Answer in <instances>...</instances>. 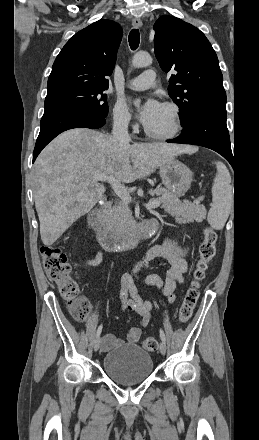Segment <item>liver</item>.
<instances>
[{
  "instance_id": "1",
  "label": "liver",
  "mask_w": 259,
  "mask_h": 440,
  "mask_svg": "<svg viewBox=\"0 0 259 440\" xmlns=\"http://www.w3.org/2000/svg\"><path fill=\"white\" fill-rule=\"evenodd\" d=\"M190 146L120 143L88 128L58 135L35 162L34 200L44 245L50 246L103 197L95 175L131 183L151 175L171 158L193 153Z\"/></svg>"
}]
</instances>
